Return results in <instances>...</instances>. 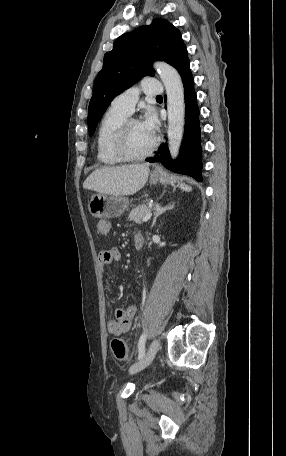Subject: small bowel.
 <instances>
[{"mask_svg": "<svg viewBox=\"0 0 286 456\" xmlns=\"http://www.w3.org/2000/svg\"><path fill=\"white\" fill-rule=\"evenodd\" d=\"M98 232L102 235H109L112 229V224L109 220L103 219L98 222ZM141 235V234H137ZM121 252L118 248L112 247L103 249L99 253V265L104 276L107 275L109 265L120 261ZM137 312L135 305H129L125 308L119 307L115 309V318L107 322V331L111 335H121L128 332L132 327V320Z\"/></svg>", "mask_w": 286, "mask_h": 456, "instance_id": "obj_1", "label": "small bowel"}]
</instances>
